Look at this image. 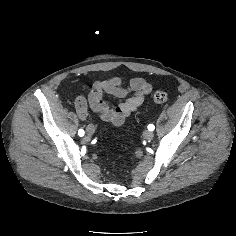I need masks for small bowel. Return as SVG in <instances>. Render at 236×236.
I'll list each match as a JSON object with an SVG mask.
<instances>
[{"label": "small bowel", "mask_w": 236, "mask_h": 236, "mask_svg": "<svg viewBox=\"0 0 236 236\" xmlns=\"http://www.w3.org/2000/svg\"><path fill=\"white\" fill-rule=\"evenodd\" d=\"M153 91V86L142 77H134L125 82L114 76L95 82L86 98L78 97L75 100V109L81 120H88V107L96 116L113 126L122 125L135 112ZM110 95L120 101L112 106L104 99Z\"/></svg>", "instance_id": "obj_1"}]
</instances>
